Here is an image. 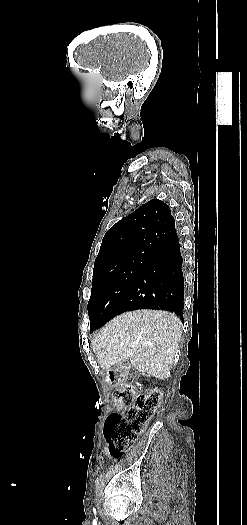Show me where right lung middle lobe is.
<instances>
[{
    "label": "right lung middle lobe",
    "mask_w": 247,
    "mask_h": 525,
    "mask_svg": "<svg viewBox=\"0 0 247 525\" xmlns=\"http://www.w3.org/2000/svg\"><path fill=\"white\" fill-rule=\"evenodd\" d=\"M149 257L129 267L93 272L91 297L88 302L90 329L100 327L116 316V310L148 264Z\"/></svg>",
    "instance_id": "obj_1"
}]
</instances>
